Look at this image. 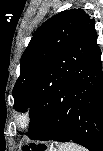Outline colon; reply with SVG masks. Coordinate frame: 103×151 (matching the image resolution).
I'll use <instances>...</instances> for the list:
<instances>
[{
    "instance_id": "colon-1",
    "label": "colon",
    "mask_w": 103,
    "mask_h": 151,
    "mask_svg": "<svg viewBox=\"0 0 103 151\" xmlns=\"http://www.w3.org/2000/svg\"><path fill=\"white\" fill-rule=\"evenodd\" d=\"M23 151H45V149L43 147H34V148L25 147Z\"/></svg>"
}]
</instances>
